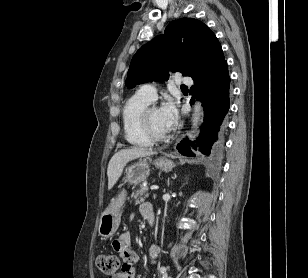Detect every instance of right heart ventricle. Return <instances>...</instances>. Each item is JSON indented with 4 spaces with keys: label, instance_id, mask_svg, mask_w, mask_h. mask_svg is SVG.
Instances as JSON below:
<instances>
[{
    "label": "right heart ventricle",
    "instance_id": "1",
    "mask_svg": "<svg viewBox=\"0 0 308 278\" xmlns=\"http://www.w3.org/2000/svg\"><path fill=\"white\" fill-rule=\"evenodd\" d=\"M149 104L150 101L142 97L139 93H136L131 96L123 106L122 124L125 139L134 147L146 148L152 143L144 134L139 121L142 110Z\"/></svg>",
    "mask_w": 308,
    "mask_h": 278
}]
</instances>
